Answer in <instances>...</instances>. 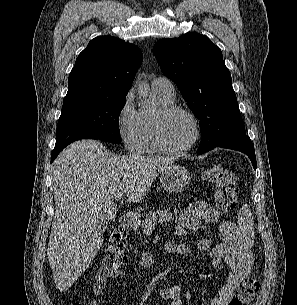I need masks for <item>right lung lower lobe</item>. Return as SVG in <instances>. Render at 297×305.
<instances>
[{"instance_id":"98d812e1","label":"right lung lower lobe","mask_w":297,"mask_h":305,"mask_svg":"<svg viewBox=\"0 0 297 305\" xmlns=\"http://www.w3.org/2000/svg\"><path fill=\"white\" fill-rule=\"evenodd\" d=\"M63 149L60 148V149H56L54 148L53 152H52V155H51V162L54 161V159L58 156V154L60 153V151H62Z\"/></svg>"}]
</instances>
